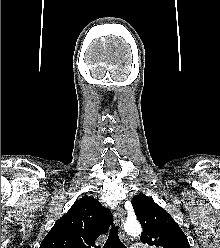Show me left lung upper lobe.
I'll return each mask as SVG.
<instances>
[{"instance_id": "5c2ea615", "label": "left lung upper lobe", "mask_w": 220, "mask_h": 248, "mask_svg": "<svg viewBox=\"0 0 220 248\" xmlns=\"http://www.w3.org/2000/svg\"><path fill=\"white\" fill-rule=\"evenodd\" d=\"M136 216L143 227L140 240L158 248H190L188 239L169 213L144 194L132 198Z\"/></svg>"}]
</instances>
